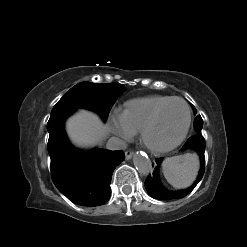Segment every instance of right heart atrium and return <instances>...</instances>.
<instances>
[{
    "label": "right heart atrium",
    "mask_w": 247,
    "mask_h": 247,
    "mask_svg": "<svg viewBox=\"0 0 247 247\" xmlns=\"http://www.w3.org/2000/svg\"><path fill=\"white\" fill-rule=\"evenodd\" d=\"M111 131L122 139H129L133 136L134 131L126 122L123 113H114L110 120Z\"/></svg>",
    "instance_id": "right-heart-atrium-1"
}]
</instances>
